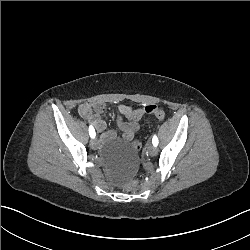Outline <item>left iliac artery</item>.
I'll return each mask as SVG.
<instances>
[{"label":"left iliac artery","instance_id":"obj_1","mask_svg":"<svg viewBox=\"0 0 250 250\" xmlns=\"http://www.w3.org/2000/svg\"><path fill=\"white\" fill-rule=\"evenodd\" d=\"M152 143H153L154 146L158 145V138H157L156 135L153 136Z\"/></svg>","mask_w":250,"mask_h":250}]
</instances>
